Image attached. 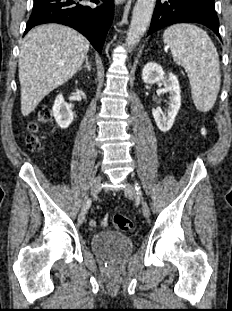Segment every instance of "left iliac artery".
<instances>
[{
    "label": "left iliac artery",
    "mask_w": 232,
    "mask_h": 311,
    "mask_svg": "<svg viewBox=\"0 0 232 311\" xmlns=\"http://www.w3.org/2000/svg\"><path fill=\"white\" fill-rule=\"evenodd\" d=\"M135 190L137 191V194H141V190H140V187L139 186H135Z\"/></svg>",
    "instance_id": "left-iliac-artery-1"
}]
</instances>
